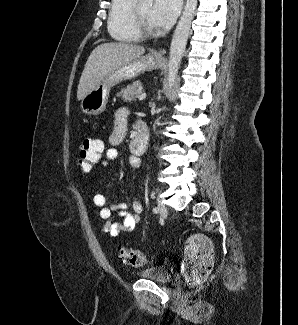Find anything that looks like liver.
Instances as JSON below:
<instances>
[{"label":"liver","instance_id":"6515ba94","mask_svg":"<svg viewBox=\"0 0 298 325\" xmlns=\"http://www.w3.org/2000/svg\"><path fill=\"white\" fill-rule=\"evenodd\" d=\"M145 46L127 42H103L90 52L79 78L77 98H84L113 68L145 54Z\"/></svg>","mask_w":298,"mask_h":325}]
</instances>
